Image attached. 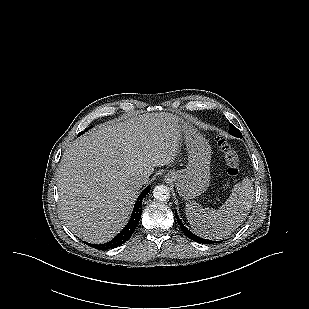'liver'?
<instances>
[{
  "mask_svg": "<svg viewBox=\"0 0 309 309\" xmlns=\"http://www.w3.org/2000/svg\"><path fill=\"white\" fill-rule=\"evenodd\" d=\"M181 125L170 114L140 115L105 123L75 140L57 171L59 213L67 227L91 243L112 239L126 224L141 187L154 167L174 162Z\"/></svg>",
  "mask_w": 309,
  "mask_h": 309,
  "instance_id": "1",
  "label": "liver"
}]
</instances>
